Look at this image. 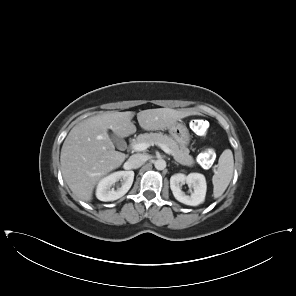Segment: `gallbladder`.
<instances>
[{
  "mask_svg": "<svg viewBox=\"0 0 296 296\" xmlns=\"http://www.w3.org/2000/svg\"><path fill=\"white\" fill-rule=\"evenodd\" d=\"M112 140L117 147H122L125 144V142L122 139L116 137L115 135L112 137Z\"/></svg>",
  "mask_w": 296,
  "mask_h": 296,
  "instance_id": "gallbladder-1",
  "label": "gallbladder"
}]
</instances>
